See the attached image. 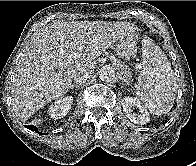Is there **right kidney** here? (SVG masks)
<instances>
[{
    "label": "right kidney",
    "instance_id": "1",
    "mask_svg": "<svg viewBox=\"0 0 196 166\" xmlns=\"http://www.w3.org/2000/svg\"><path fill=\"white\" fill-rule=\"evenodd\" d=\"M73 102L72 96H66L64 98H60L51 104L47 110V113L53 119H61L67 115L70 110V107Z\"/></svg>",
    "mask_w": 196,
    "mask_h": 166
}]
</instances>
